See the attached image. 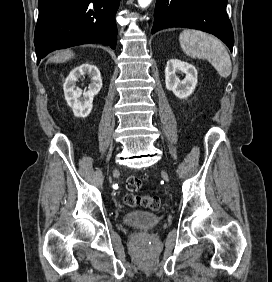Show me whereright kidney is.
<instances>
[{
  "label": "right kidney",
  "instance_id": "right-kidney-1",
  "mask_svg": "<svg viewBox=\"0 0 272 282\" xmlns=\"http://www.w3.org/2000/svg\"><path fill=\"white\" fill-rule=\"evenodd\" d=\"M84 75L90 78L88 91L82 92L76 86L78 79ZM102 88V79L99 69L84 63L72 69L63 84L64 96L76 117H87L93 108V98ZM83 95V96H82Z\"/></svg>",
  "mask_w": 272,
  "mask_h": 282
}]
</instances>
